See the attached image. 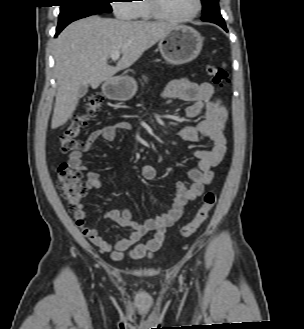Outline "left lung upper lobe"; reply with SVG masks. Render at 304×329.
Here are the masks:
<instances>
[{"label":"left lung upper lobe","instance_id":"1","mask_svg":"<svg viewBox=\"0 0 304 329\" xmlns=\"http://www.w3.org/2000/svg\"><path fill=\"white\" fill-rule=\"evenodd\" d=\"M203 4V12L208 10L211 6L218 4L219 0H201Z\"/></svg>","mask_w":304,"mask_h":329}]
</instances>
